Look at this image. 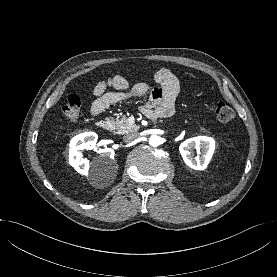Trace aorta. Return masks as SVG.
Here are the masks:
<instances>
[{
  "instance_id": "aorta-1",
  "label": "aorta",
  "mask_w": 277,
  "mask_h": 277,
  "mask_svg": "<svg viewBox=\"0 0 277 277\" xmlns=\"http://www.w3.org/2000/svg\"><path fill=\"white\" fill-rule=\"evenodd\" d=\"M149 144L153 147H157L161 144V138L157 135H153L149 138Z\"/></svg>"
}]
</instances>
